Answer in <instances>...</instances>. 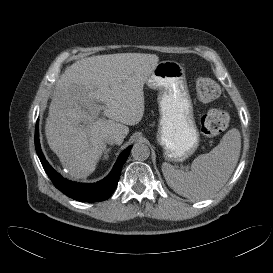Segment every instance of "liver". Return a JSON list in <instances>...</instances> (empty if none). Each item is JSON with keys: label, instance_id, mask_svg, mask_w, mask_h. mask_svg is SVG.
I'll use <instances>...</instances> for the list:
<instances>
[{"label": "liver", "instance_id": "liver-1", "mask_svg": "<svg viewBox=\"0 0 273 273\" xmlns=\"http://www.w3.org/2000/svg\"><path fill=\"white\" fill-rule=\"evenodd\" d=\"M158 61L157 55L145 53L91 56L76 61L61 75L45 134L71 177L93 173L106 151V137L118 135L123 142L129 132L127 125L141 121L143 87ZM99 103L108 119L92 115ZM84 122L88 125L83 126Z\"/></svg>", "mask_w": 273, "mask_h": 273}]
</instances>
